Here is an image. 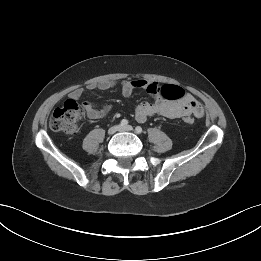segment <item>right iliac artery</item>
<instances>
[{
  "instance_id": "82829eb1",
  "label": "right iliac artery",
  "mask_w": 261,
  "mask_h": 261,
  "mask_svg": "<svg viewBox=\"0 0 261 261\" xmlns=\"http://www.w3.org/2000/svg\"><path fill=\"white\" fill-rule=\"evenodd\" d=\"M121 126H127L128 121L126 119L121 120L120 122Z\"/></svg>"
}]
</instances>
